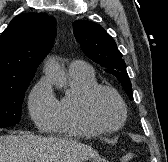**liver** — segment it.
Listing matches in <instances>:
<instances>
[{
  "mask_svg": "<svg viewBox=\"0 0 168 162\" xmlns=\"http://www.w3.org/2000/svg\"><path fill=\"white\" fill-rule=\"evenodd\" d=\"M99 158L88 145L61 137L29 133L0 136V162H82Z\"/></svg>",
  "mask_w": 168,
  "mask_h": 162,
  "instance_id": "liver-1",
  "label": "liver"
}]
</instances>
